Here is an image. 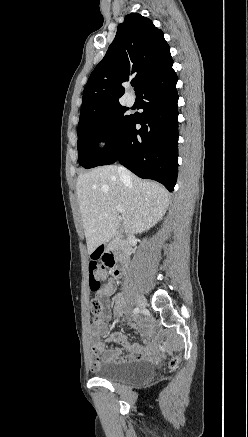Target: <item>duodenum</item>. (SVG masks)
I'll return each instance as SVG.
<instances>
[{
	"instance_id": "duodenum-1",
	"label": "duodenum",
	"mask_w": 248,
	"mask_h": 437,
	"mask_svg": "<svg viewBox=\"0 0 248 437\" xmlns=\"http://www.w3.org/2000/svg\"><path fill=\"white\" fill-rule=\"evenodd\" d=\"M131 235L120 232L116 238L109 242L100 245L98 248H94L91 254L94 257H105L109 256L113 262L115 261L116 266L113 270V275L115 277L121 276L124 267L128 263V254L130 249Z\"/></svg>"
}]
</instances>
